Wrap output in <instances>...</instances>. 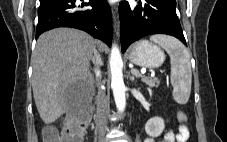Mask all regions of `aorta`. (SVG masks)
Instances as JSON below:
<instances>
[{
    "instance_id": "obj_1",
    "label": "aorta",
    "mask_w": 227,
    "mask_h": 142,
    "mask_svg": "<svg viewBox=\"0 0 227 142\" xmlns=\"http://www.w3.org/2000/svg\"><path fill=\"white\" fill-rule=\"evenodd\" d=\"M122 68V56L119 48L114 44L110 55L111 88L113 90L116 107L120 112H123L126 106V88L123 81Z\"/></svg>"
}]
</instances>
